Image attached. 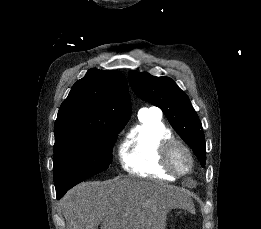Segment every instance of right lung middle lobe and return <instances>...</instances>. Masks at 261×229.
Segmentation results:
<instances>
[{
	"label": "right lung middle lobe",
	"instance_id": "right-lung-middle-lobe-1",
	"mask_svg": "<svg viewBox=\"0 0 261 229\" xmlns=\"http://www.w3.org/2000/svg\"><path fill=\"white\" fill-rule=\"evenodd\" d=\"M126 124L104 126L54 145V183L57 199L85 179L106 170L112 162L117 134Z\"/></svg>",
	"mask_w": 261,
	"mask_h": 229
}]
</instances>
